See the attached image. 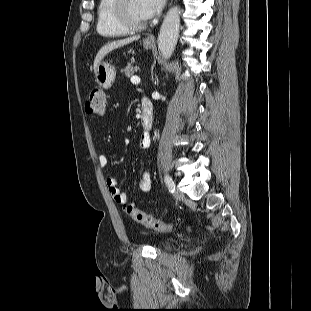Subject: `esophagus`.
<instances>
[{
	"mask_svg": "<svg viewBox=\"0 0 311 311\" xmlns=\"http://www.w3.org/2000/svg\"><path fill=\"white\" fill-rule=\"evenodd\" d=\"M147 40H148V41H154V37H153V36H149V37L147 38Z\"/></svg>",
	"mask_w": 311,
	"mask_h": 311,
	"instance_id": "obj_1",
	"label": "esophagus"
}]
</instances>
